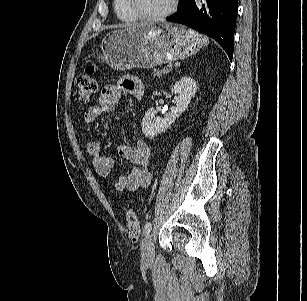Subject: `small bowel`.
I'll return each mask as SVG.
<instances>
[{
  "instance_id": "small-bowel-1",
  "label": "small bowel",
  "mask_w": 307,
  "mask_h": 301,
  "mask_svg": "<svg viewBox=\"0 0 307 301\" xmlns=\"http://www.w3.org/2000/svg\"><path fill=\"white\" fill-rule=\"evenodd\" d=\"M144 92L142 81L135 76L123 77L117 85H106L102 88L98 103L88 108L84 113L87 123L95 121L101 114L113 112L123 94L140 99ZM87 151L91 156V166L94 173L102 178L109 177L114 168V159L103 154L101 144L92 140L87 144ZM120 157L135 164L126 173H121L116 180V189L119 191H135L146 187L151 182L149 163L151 156L150 146L143 140L134 145H121L117 149Z\"/></svg>"
}]
</instances>
